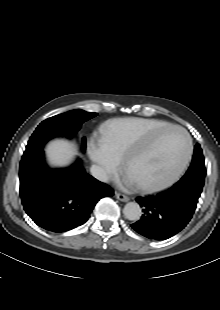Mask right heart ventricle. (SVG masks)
<instances>
[{"mask_svg":"<svg viewBox=\"0 0 220 310\" xmlns=\"http://www.w3.org/2000/svg\"><path fill=\"white\" fill-rule=\"evenodd\" d=\"M168 124L159 121H140L134 124V127L137 130V135H144L147 133L155 132L162 130L167 127ZM127 127V126H126ZM131 127V125H130ZM124 130L118 131L114 135L110 136L107 141L103 144V148L106 149L116 160L123 159L129 148V143L124 140Z\"/></svg>","mask_w":220,"mask_h":310,"instance_id":"right-heart-ventricle-1","label":"right heart ventricle"}]
</instances>
